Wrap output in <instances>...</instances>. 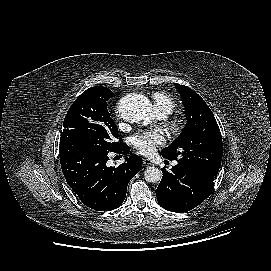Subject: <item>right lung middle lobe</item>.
Listing matches in <instances>:
<instances>
[{
	"label": "right lung middle lobe",
	"mask_w": 271,
	"mask_h": 271,
	"mask_svg": "<svg viewBox=\"0 0 271 271\" xmlns=\"http://www.w3.org/2000/svg\"><path fill=\"white\" fill-rule=\"evenodd\" d=\"M114 93L106 87H92L84 91L71 105L63 122L60 146L99 147L114 150L121 143L118 129L110 117L107 102Z\"/></svg>",
	"instance_id": "right-lung-middle-lobe-1"
}]
</instances>
